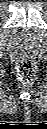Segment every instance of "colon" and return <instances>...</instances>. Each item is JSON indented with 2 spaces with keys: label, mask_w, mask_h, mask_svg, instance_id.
<instances>
[{
  "label": "colon",
  "mask_w": 47,
  "mask_h": 129,
  "mask_svg": "<svg viewBox=\"0 0 47 129\" xmlns=\"http://www.w3.org/2000/svg\"><path fill=\"white\" fill-rule=\"evenodd\" d=\"M18 79L23 85L31 84L37 73L36 66L31 61H22L18 65Z\"/></svg>",
  "instance_id": "obj_1"
}]
</instances>
